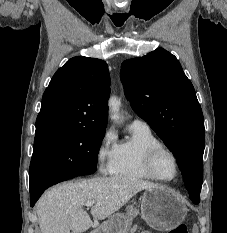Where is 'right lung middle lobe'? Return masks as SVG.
I'll use <instances>...</instances> for the list:
<instances>
[{"label":"right lung middle lobe","instance_id":"1","mask_svg":"<svg viewBox=\"0 0 227 233\" xmlns=\"http://www.w3.org/2000/svg\"><path fill=\"white\" fill-rule=\"evenodd\" d=\"M105 128H54L36 133L30 163V187L43 180L96 171Z\"/></svg>","mask_w":227,"mask_h":233}]
</instances>
